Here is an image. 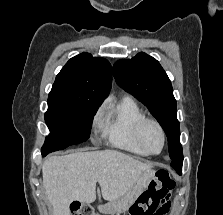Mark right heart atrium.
<instances>
[{
	"mask_svg": "<svg viewBox=\"0 0 223 215\" xmlns=\"http://www.w3.org/2000/svg\"><path fill=\"white\" fill-rule=\"evenodd\" d=\"M102 120H103L102 113L97 112L95 117H94V120H93V125L96 128H99L102 125Z\"/></svg>",
	"mask_w": 223,
	"mask_h": 215,
	"instance_id": "1",
	"label": "right heart atrium"
}]
</instances>
